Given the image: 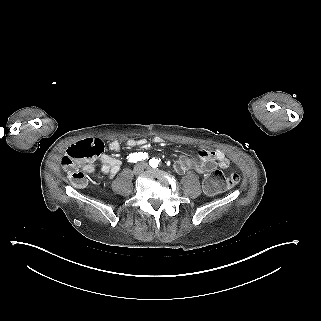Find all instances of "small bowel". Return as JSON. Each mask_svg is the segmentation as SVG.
I'll return each mask as SVG.
<instances>
[{
    "instance_id": "obj_1",
    "label": "small bowel",
    "mask_w": 321,
    "mask_h": 321,
    "mask_svg": "<svg viewBox=\"0 0 321 321\" xmlns=\"http://www.w3.org/2000/svg\"><path fill=\"white\" fill-rule=\"evenodd\" d=\"M153 142L156 144H161L164 142V140L160 137H155ZM99 143L104 148V144L100 141ZM126 144L131 148L143 147L147 144V140L129 139ZM107 147L112 152H119L121 149L120 143L117 140L110 141L107 144ZM228 165L229 161L222 151L207 147L201 148L198 151L196 157L182 155L175 163L176 169L181 173L189 170H195L201 174L208 173L215 167L226 168L228 167ZM121 166L122 162L120 159L102 153L97 162L91 160L86 161L83 169L86 172H92L96 169H99L108 176L113 177L119 172Z\"/></svg>"
}]
</instances>
